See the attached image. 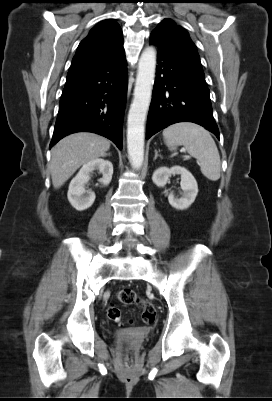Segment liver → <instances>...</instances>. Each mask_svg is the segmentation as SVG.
<instances>
[{"mask_svg":"<svg viewBox=\"0 0 272 401\" xmlns=\"http://www.w3.org/2000/svg\"><path fill=\"white\" fill-rule=\"evenodd\" d=\"M109 148L110 141L95 133L79 132L61 139L51 151L54 188H60L83 164L104 157Z\"/></svg>","mask_w":272,"mask_h":401,"instance_id":"obj_1","label":"liver"}]
</instances>
